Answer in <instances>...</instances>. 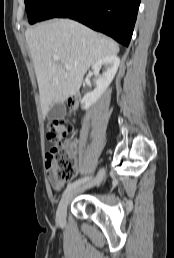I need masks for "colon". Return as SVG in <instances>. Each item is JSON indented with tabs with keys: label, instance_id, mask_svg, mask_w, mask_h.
Listing matches in <instances>:
<instances>
[{
	"label": "colon",
	"instance_id": "colon-1",
	"mask_svg": "<svg viewBox=\"0 0 174 258\" xmlns=\"http://www.w3.org/2000/svg\"><path fill=\"white\" fill-rule=\"evenodd\" d=\"M72 132L73 123L71 120H55L48 126L47 137L52 148L47 153V162L59 180H69L77 171L73 155L74 141L68 138Z\"/></svg>",
	"mask_w": 174,
	"mask_h": 258
}]
</instances>
